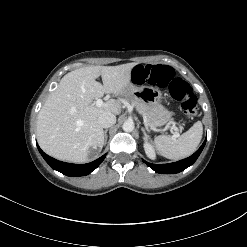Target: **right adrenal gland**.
Instances as JSON below:
<instances>
[{"label":"right adrenal gland","instance_id":"2a0ac1e0","mask_svg":"<svg viewBox=\"0 0 247 247\" xmlns=\"http://www.w3.org/2000/svg\"><path fill=\"white\" fill-rule=\"evenodd\" d=\"M107 132H108V129H106V130L104 131V145H106L107 138H108Z\"/></svg>","mask_w":247,"mask_h":247}]
</instances>
